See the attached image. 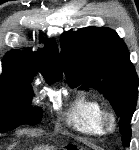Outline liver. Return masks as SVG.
Instances as JSON below:
<instances>
[{"label": "liver", "mask_w": 139, "mask_h": 150, "mask_svg": "<svg viewBox=\"0 0 139 150\" xmlns=\"http://www.w3.org/2000/svg\"><path fill=\"white\" fill-rule=\"evenodd\" d=\"M52 149H54V148L53 147H50V148H48V147H39L36 150H52Z\"/></svg>", "instance_id": "1"}]
</instances>
